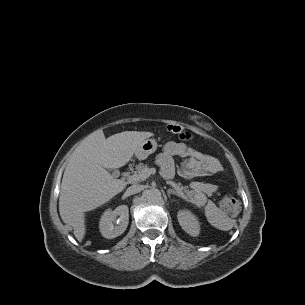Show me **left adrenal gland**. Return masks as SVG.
<instances>
[{
    "label": "left adrenal gland",
    "mask_w": 305,
    "mask_h": 305,
    "mask_svg": "<svg viewBox=\"0 0 305 305\" xmlns=\"http://www.w3.org/2000/svg\"><path fill=\"white\" fill-rule=\"evenodd\" d=\"M167 194H168L169 197H170L171 194L180 196V194H179L177 191H175L174 189H168V190H167ZM181 197H182V196H181ZM182 198H183V197H182Z\"/></svg>",
    "instance_id": "1"
}]
</instances>
